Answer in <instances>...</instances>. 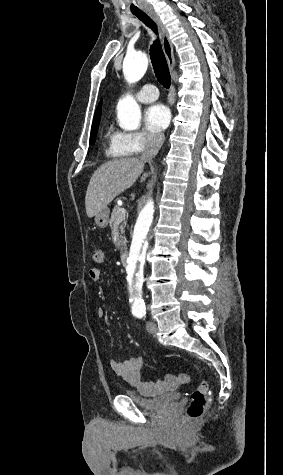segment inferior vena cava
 Instances as JSON below:
<instances>
[{"label": "inferior vena cava", "instance_id": "obj_1", "mask_svg": "<svg viewBox=\"0 0 283 475\" xmlns=\"http://www.w3.org/2000/svg\"><path fill=\"white\" fill-rule=\"evenodd\" d=\"M146 142V148L140 156V160H144V162H149L151 166V162L155 156H157L161 146L164 144V134L162 132H148ZM151 170L153 172V168L151 166Z\"/></svg>", "mask_w": 283, "mask_h": 475}]
</instances>
